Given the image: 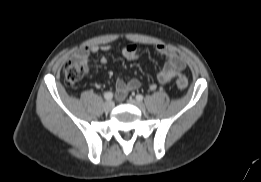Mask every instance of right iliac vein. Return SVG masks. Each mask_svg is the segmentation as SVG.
I'll list each match as a JSON object with an SVG mask.
<instances>
[{
	"instance_id": "63e3f726",
	"label": "right iliac vein",
	"mask_w": 261,
	"mask_h": 182,
	"mask_svg": "<svg viewBox=\"0 0 261 182\" xmlns=\"http://www.w3.org/2000/svg\"><path fill=\"white\" fill-rule=\"evenodd\" d=\"M104 111L109 112L114 108V103L112 101H107L104 103Z\"/></svg>"
}]
</instances>
